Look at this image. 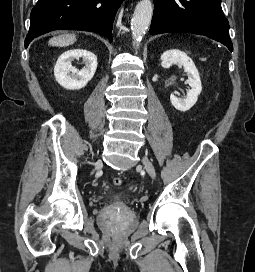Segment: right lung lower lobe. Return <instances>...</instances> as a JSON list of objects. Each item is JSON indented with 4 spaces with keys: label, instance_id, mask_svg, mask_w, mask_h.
<instances>
[{
    "label": "right lung lower lobe",
    "instance_id": "right-lung-lower-lobe-1",
    "mask_svg": "<svg viewBox=\"0 0 255 272\" xmlns=\"http://www.w3.org/2000/svg\"><path fill=\"white\" fill-rule=\"evenodd\" d=\"M123 0H38L30 14L25 47L53 30L70 29L99 33L112 42V26Z\"/></svg>",
    "mask_w": 255,
    "mask_h": 272
}]
</instances>
